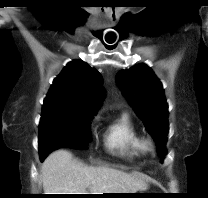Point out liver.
<instances>
[{
	"label": "liver",
	"mask_w": 208,
	"mask_h": 198,
	"mask_svg": "<svg viewBox=\"0 0 208 198\" xmlns=\"http://www.w3.org/2000/svg\"><path fill=\"white\" fill-rule=\"evenodd\" d=\"M40 179L45 194L136 193L148 187L123 171L85 166L66 150L55 151L46 158Z\"/></svg>",
	"instance_id": "1"
}]
</instances>
